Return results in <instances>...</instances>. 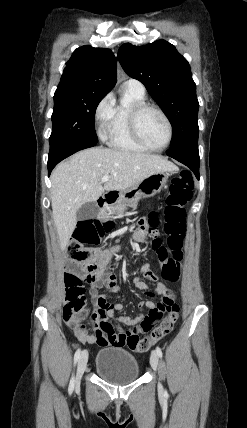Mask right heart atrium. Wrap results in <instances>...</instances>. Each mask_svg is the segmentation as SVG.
<instances>
[{
	"instance_id": "d8ad5b80",
	"label": "right heart atrium",
	"mask_w": 247,
	"mask_h": 428,
	"mask_svg": "<svg viewBox=\"0 0 247 428\" xmlns=\"http://www.w3.org/2000/svg\"><path fill=\"white\" fill-rule=\"evenodd\" d=\"M115 114V105L111 94L106 95L96 106L94 119L99 136L107 139Z\"/></svg>"
}]
</instances>
